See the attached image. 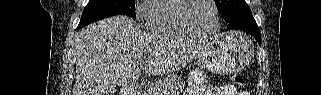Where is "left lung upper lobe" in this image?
Here are the masks:
<instances>
[{
    "instance_id": "1",
    "label": "left lung upper lobe",
    "mask_w": 321,
    "mask_h": 95,
    "mask_svg": "<svg viewBox=\"0 0 321 95\" xmlns=\"http://www.w3.org/2000/svg\"><path fill=\"white\" fill-rule=\"evenodd\" d=\"M222 17L229 23L235 18L250 14L245 0H214Z\"/></svg>"
}]
</instances>
